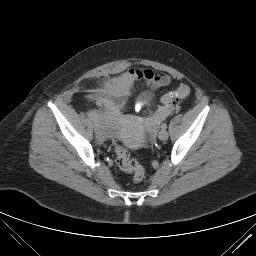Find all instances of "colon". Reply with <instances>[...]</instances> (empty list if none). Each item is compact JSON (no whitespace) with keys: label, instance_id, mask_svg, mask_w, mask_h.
Wrapping results in <instances>:
<instances>
[{"label":"colon","instance_id":"1","mask_svg":"<svg viewBox=\"0 0 256 256\" xmlns=\"http://www.w3.org/2000/svg\"><path fill=\"white\" fill-rule=\"evenodd\" d=\"M190 93L191 88L186 84H182L175 90L163 95L160 101L163 107L173 108L179 100L189 96ZM115 154L118 167L122 171L132 174L134 183L141 182L145 176L144 168L137 161L130 158L128 150L121 145H116Z\"/></svg>","mask_w":256,"mask_h":256}]
</instances>
